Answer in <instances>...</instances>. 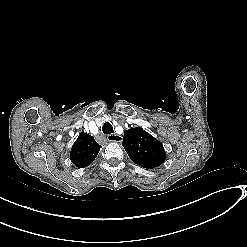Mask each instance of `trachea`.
I'll list each match as a JSON object with an SVG mask.
<instances>
[{
  "label": "trachea",
  "instance_id": "1",
  "mask_svg": "<svg viewBox=\"0 0 247 247\" xmlns=\"http://www.w3.org/2000/svg\"><path fill=\"white\" fill-rule=\"evenodd\" d=\"M102 132L106 135L113 133V126L111 125V123L109 122L104 123L102 127Z\"/></svg>",
  "mask_w": 247,
  "mask_h": 247
}]
</instances>
